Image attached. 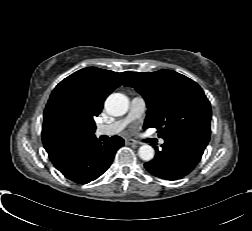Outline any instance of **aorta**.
Returning <instances> with one entry per match:
<instances>
[{
    "label": "aorta",
    "mask_w": 252,
    "mask_h": 231,
    "mask_svg": "<svg viewBox=\"0 0 252 231\" xmlns=\"http://www.w3.org/2000/svg\"><path fill=\"white\" fill-rule=\"evenodd\" d=\"M129 106L128 98L121 93H112L105 101V110L109 115L122 116ZM154 149L148 144L142 145L138 150V155L143 161H150L154 158Z\"/></svg>",
    "instance_id": "aorta-1"
}]
</instances>
